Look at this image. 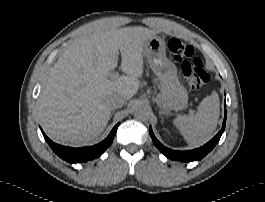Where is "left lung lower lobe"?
I'll return each instance as SVG.
<instances>
[{"instance_id":"left-lung-lower-lobe-1","label":"left lung lower lobe","mask_w":265,"mask_h":202,"mask_svg":"<svg viewBox=\"0 0 265 202\" xmlns=\"http://www.w3.org/2000/svg\"><path fill=\"white\" fill-rule=\"evenodd\" d=\"M225 124H226V110H225V118L223 120L222 129L219 131V133L204 146L194 149V150H189V151H176V150H171L169 148H166L156 139V137L153 134L151 126L149 129V133L151 135L152 141L155 144V146L167 158L172 159V160L182 161V162H191L194 160L202 159L205 155H207L214 148V146L218 143L221 135L224 132Z\"/></svg>"}]
</instances>
